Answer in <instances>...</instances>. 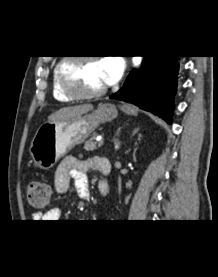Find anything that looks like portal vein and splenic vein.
Segmentation results:
<instances>
[{
  "label": "portal vein and splenic vein",
  "instance_id": "portal-vein-and-splenic-vein-1",
  "mask_svg": "<svg viewBox=\"0 0 218 277\" xmlns=\"http://www.w3.org/2000/svg\"><path fill=\"white\" fill-rule=\"evenodd\" d=\"M97 141H98V146H102L104 144V141L101 138H98Z\"/></svg>",
  "mask_w": 218,
  "mask_h": 277
}]
</instances>
